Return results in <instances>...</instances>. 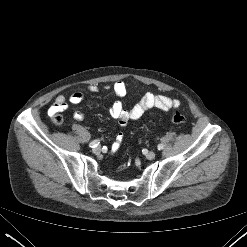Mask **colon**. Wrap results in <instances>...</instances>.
I'll return each instance as SVG.
<instances>
[{"mask_svg":"<svg viewBox=\"0 0 247 247\" xmlns=\"http://www.w3.org/2000/svg\"><path fill=\"white\" fill-rule=\"evenodd\" d=\"M170 121H171L172 125H174V126H181L185 123V117L181 113L177 112L171 116ZM53 122L55 124H61L62 123V116L59 113H55L53 115ZM122 140L123 139H121V138L119 139V141L121 143H122Z\"/></svg>","mask_w":247,"mask_h":247,"instance_id":"obj_1","label":"colon"}]
</instances>
